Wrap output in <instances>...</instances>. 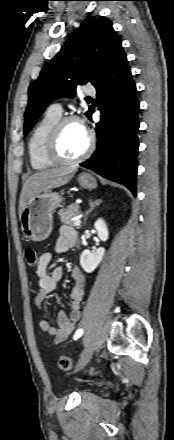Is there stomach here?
<instances>
[{"label": "stomach", "instance_id": "stomach-1", "mask_svg": "<svg viewBox=\"0 0 174 440\" xmlns=\"http://www.w3.org/2000/svg\"><path fill=\"white\" fill-rule=\"evenodd\" d=\"M86 189L97 187L96 179L89 173H81L77 178ZM63 193L46 190L28 201L20 215L21 229L26 238L39 242L45 240L52 231L53 212L63 200Z\"/></svg>", "mask_w": 174, "mask_h": 440}]
</instances>
